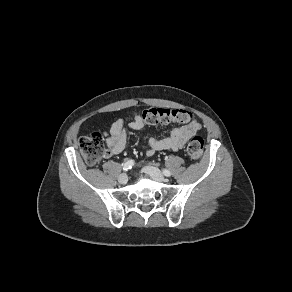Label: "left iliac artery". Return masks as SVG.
I'll return each instance as SVG.
<instances>
[{"label":"left iliac artery","mask_w":292,"mask_h":292,"mask_svg":"<svg viewBox=\"0 0 292 292\" xmlns=\"http://www.w3.org/2000/svg\"><path fill=\"white\" fill-rule=\"evenodd\" d=\"M163 174L167 177L171 176V172L167 169H163Z\"/></svg>","instance_id":"left-iliac-artery-1"}]
</instances>
